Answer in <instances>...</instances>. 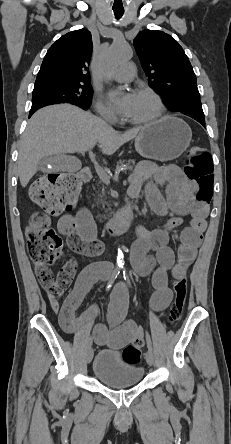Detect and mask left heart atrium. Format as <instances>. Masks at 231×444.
<instances>
[{
	"label": "left heart atrium",
	"instance_id": "obj_1",
	"mask_svg": "<svg viewBox=\"0 0 231 444\" xmlns=\"http://www.w3.org/2000/svg\"><path fill=\"white\" fill-rule=\"evenodd\" d=\"M135 94L127 93L123 96H119L115 92L109 93V100L115 106V108L123 115L128 116L133 106Z\"/></svg>",
	"mask_w": 231,
	"mask_h": 444
}]
</instances>
